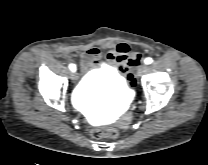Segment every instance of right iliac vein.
<instances>
[{
	"label": "right iliac vein",
	"instance_id": "63e3f726",
	"mask_svg": "<svg viewBox=\"0 0 208 165\" xmlns=\"http://www.w3.org/2000/svg\"><path fill=\"white\" fill-rule=\"evenodd\" d=\"M78 79V74L76 72H73L71 74V80L75 83Z\"/></svg>",
	"mask_w": 208,
	"mask_h": 165
}]
</instances>
